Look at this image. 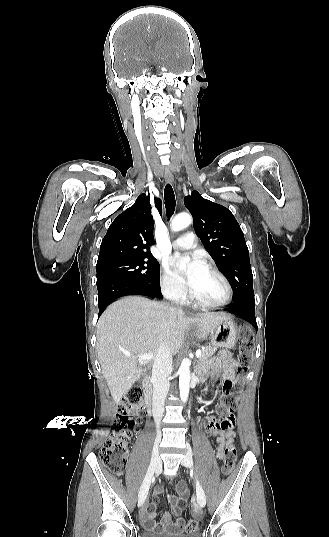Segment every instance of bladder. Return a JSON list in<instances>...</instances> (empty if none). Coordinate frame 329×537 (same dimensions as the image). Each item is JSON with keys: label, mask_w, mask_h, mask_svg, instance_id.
Returning <instances> with one entry per match:
<instances>
[{"label": "bladder", "mask_w": 329, "mask_h": 537, "mask_svg": "<svg viewBox=\"0 0 329 537\" xmlns=\"http://www.w3.org/2000/svg\"><path fill=\"white\" fill-rule=\"evenodd\" d=\"M142 537H200V534L197 531L189 532L186 534H167V533H157L150 530H144L142 532Z\"/></svg>", "instance_id": "31cf9c89"}]
</instances>
